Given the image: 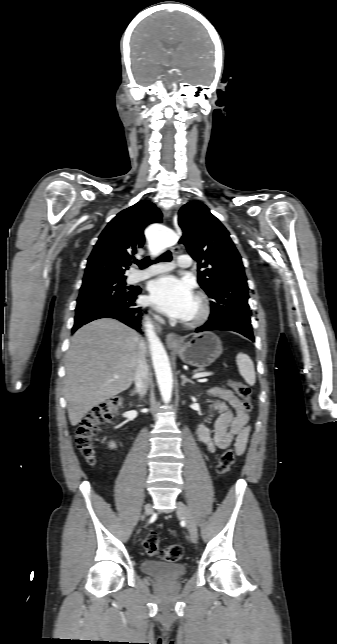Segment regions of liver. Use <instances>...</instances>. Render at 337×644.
Listing matches in <instances>:
<instances>
[{"label": "liver", "mask_w": 337, "mask_h": 644, "mask_svg": "<svg viewBox=\"0 0 337 644\" xmlns=\"http://www.w3.org/2000/svg\"><path fill=\"white\" fill-rule=\"evenodd\" d=\"M141 343L133 329L110 318L90 322L73 335L65 357L64 378L72 426L93 407L130 387Z\"/></svg>", "instance_id": "liver-1"}]
</instances>
